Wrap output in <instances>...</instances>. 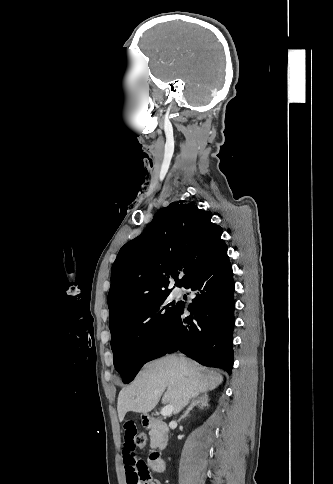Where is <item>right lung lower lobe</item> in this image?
Segmentation results:
<instances>
[{
	"mask_svg": "<svg viewBox=\"0 0 333 484\" xmlns=\"http://www.w3.org/2000/svg\"><path fill=\"white\" fill-rule=\"evenodd\" d=\"M195 291L188 308L180 305L171 327L157 343L148 361L180 351L199 363L233 367L234 282L226 244L185 285ZM191 314L185 315V310Z\"/></svg>",
	"mask_w": 333,
	"mask_h": 484,
	"instance_id": "right-lung-lower-lobe-1",
	"label": "right lung lower lobe"
}]
</instances>
